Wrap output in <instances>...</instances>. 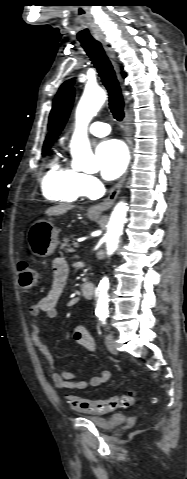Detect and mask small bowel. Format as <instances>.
I'll return each mask as SVG.
<instances>
[{
  "mask_svg": "<svg viewBox=\"0 0 187 479\" xmlns=\"http://www.w3.org/2000/svg\"><path fill=\"white\" fill-rule=\"evenodd\" d=\"M68 277V262L64 258H56L53 262V281L50 290L36 304L30 307L31 339L44 355L53 385L60 391L84 390L88 387H97L107 382L111 377L109 371L102 370L97 376L91 377L89 380L75 381L78 375L76 372L57 371L53 364L52 355L40 336L41 326L38 317L41 313H44L51 319L58 317V302L66 288ZM73 337L89 354L95 352V342L84 325L78 324L75 326Z\"/></svg>",
  "mask_w": 187,
  "mask_h": 479,
  "instance_id": "1",
  "label": "small bowel"
}]
</instances>
